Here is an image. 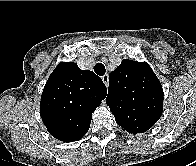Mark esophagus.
<instances>
[{
    "instance_id": "1",
    "label": "esophagus",
    "mask_w": 196,
    "mask_h": 166,
    "mask_svg": "<svg viewBox=\"0 0 196 166\" xmlns=\"http://www.w3.org/2000/svg\"><path fill=\"white\" fill-rule=\"evenodd\" d=\"M102 80H103L104 84L107 87L108 84H109V75L108 74H105L104 76H102Z\"/></svg>"
}]
</instances>
